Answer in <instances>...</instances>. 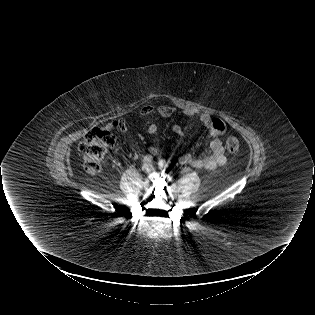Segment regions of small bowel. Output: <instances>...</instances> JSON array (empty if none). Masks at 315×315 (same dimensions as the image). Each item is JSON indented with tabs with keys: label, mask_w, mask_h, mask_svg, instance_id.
Returning <instances> with one entry per match:
<instances>
[{
	"label": "small bowel",
	"mask_w": 315,
	"mask_h": 315,
	"mask_svg": "<svg viewBox=\"0 0 315 315\" xmlns=\"http://www.w3.org/2000/svg\"><path fill=\"white\" fill-rule=\"evenodd\" d=\"M176 112V108L169 105H147L143 106L139 114L141 116H149L151 114H157L161 117H169ZM185 114L190 116L191 113L186 111ZM201 123L208 130V134L210 136L209 149L208 154L202 158L194 157L190 153H185L181 157V162L183 164L191 165L197 169H207L214 170L219 166L225 165L227 162V158L225 156V150L220 139L221 136L225 133V125L224 123L218 119L214 118L211 115L204 113L200 116ZM107 128H115L121 131H127L129 127V122L125 119L119 121H110L105 125ZM158 130L156 124L149 125L147 131L149 134H155ZM173 131L178 135L185 134V127L182 124H175L173 126ZM150 152L152 154H158L159 149L155 146L150 147Z\"/></svg>",
	"instance_id": "obj_1"
}]
</instances>
